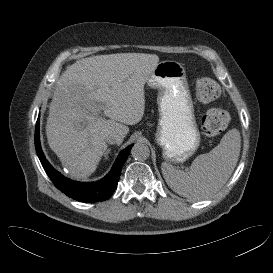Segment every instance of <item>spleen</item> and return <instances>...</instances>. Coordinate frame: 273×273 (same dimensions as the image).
Masks as SVG:
<instances>
[{
	"label": "spleen",
	"mask_w": 273,
	"mask_h": 273,
	"mask_svg": "<svg viewBox=\"0 0 273 273\" xmlns=\"http://www.w3.org/2000/svg\"><path fill=\"white\" fill-rule=\"evenodd\" d=\"M240 148V133L237 129H231L209 153L196 157L188 172L163 162V176L178 195L192 200L207 198L228 181L238 162Z\"/></svg>",
	"instance_id": "obj_1"
}]
</instances>
